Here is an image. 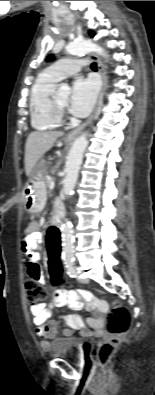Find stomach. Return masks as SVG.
Returning <instances> with one entry per match:
<instances>
[{"mask_svg":"<svg viewBox=\"0 0 155 395\" xmlns=\"http://www.w3.org/2000/svg\"><path fill=\"white\" fill-rule=\"evenodd\" d=\"M43 174L44 170L37 166L23 190L25 208L31 214L39 213L46 204L47 193Z\"/></svg>","mask_w":155,"mask_h":395,"instance_id":"obj_1","label":"stomach"}]
</instances>
